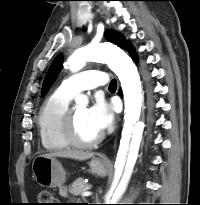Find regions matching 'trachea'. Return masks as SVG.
<instances>
[{"instance_id":"trachea-1","label":"trachea","mask_w":200,"mask_h":205,"mask_svg":"<svg viewBox=\"0 0 200 205\" xmlns=\"http://www.w3.org/2000/svg\"><path fill=\"white\" fill-rule=\"evenodd\" d=\"M109 87H110L111 89L117 88V82H116L115 79L110 82Z\"/></svg>"}]
</instances>
